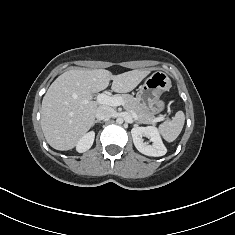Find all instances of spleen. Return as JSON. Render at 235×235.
Masks as SVG:
<instances>
[{"label": "spleen", "mask_w": 235, "mask_h": 235, "mask_svg": "<svg viewBox=\"0 0 235 235\" xmlns=\"http://www.w3.org/2000/svg\"><path fill=\"white\" fill-rule=\"evenodd\" d=\"M184 122V113L178 111L171 121H166L159 126V131L167 142H173L181 133Z\"/></svg>", "instance_id": "1"}]
</instances>
